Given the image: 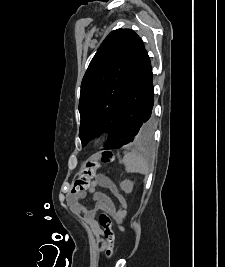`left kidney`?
Instances as JSON below:
<instances>
[{
    "mask_svg": "<svg viewBox=\"0 0 225 267\" xmlns=\"http://www.w3.org/2000/svg\"><path fill=\"white\" fill-rule=\"evenodd\" d=\"M121 189L125 192V193H131L133 190V183L130 180H124L121 184Z\"/></svg>",
    "mask_w": 225,
    "mask_h": 267,
    "instance_id": "5707ae66",
    "label": "left kidney"
}]
</instances>
